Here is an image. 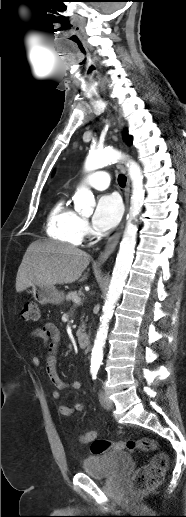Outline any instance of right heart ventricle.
I'll use <instances>...</instances> for the list:
<instances>
[{"mask_svg":"<svg viewBox=\"0 0 186 517\" xmlns=\"http://www.w3.org/2000/svg\"><path fill=\"white\" fill-rule=\"evenodd\" d=\"M80 221L81 218L68 206L65 198L60 197L49 210L46 232L54 240L77 246L83 239Z\"/></svg>","mask_w":186,"mask_h":517,"instance_id":"1","label":"right heart ventricle"}]
</instances>
